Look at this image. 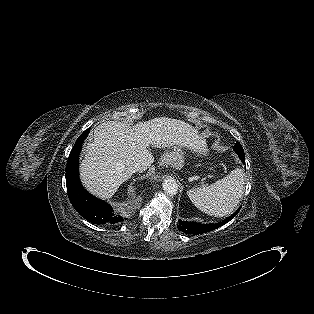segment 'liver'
I'll return each mask as SVG.
<instances>
[{
  "label": "liver",
  "instance_id": "1",
  "mask_svg": "<svg viewBox=\"0 0 314 314\" xmlns=\"http://www.w3.org/2000/svg\"><path fill=\"white\" fill-rule=\"evenodd\" d=\"M204 143L197 131L184 121L160 117L139 122L134 127L107 121L94 129L86 146L80 175L85 187L101 198H111L131 177L127 167L139 163L144 170L154 162L150 146L195 149ZM143 170V171H144Z\"/></svg>",
  "mask_w": 314,
  "mask_h": 314
}]
</instances>
